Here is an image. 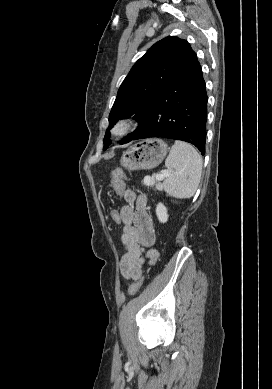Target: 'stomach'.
Segmentation results:
<instances>
[{"instance_id":"stomach-1","label":"stomach","mask_w":272,"mask_h":389,"mask_svg":"<svg viewBox=\"0 0 272 389\" xmlns=\"http://www.w3.org/2000/svg\"><path fill=\"white\" fill-rule=\"evenodd\" d=\"M167 152L168 146L163 140L157 138L146 139L125 151L120 164L130 171L153 169L162 162Z\"/></svg>"}]
</instances>
